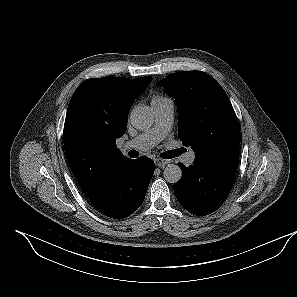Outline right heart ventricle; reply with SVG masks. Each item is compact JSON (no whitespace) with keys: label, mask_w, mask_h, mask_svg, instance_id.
<instances>
[{"label":"right heart ventricle","mask_w":297,"mask_h":297,"mask_svg":"<svg viewBox=\"0 0 297 297\" xmlns=\"http://www.w3.org/2000/svg\"><path fill=\"white\" fill-rule=\"evenodd\" d=\"M161 98H164L162 96H155L152 100H157V99H161Z\"/></svg>","instance_id":"1"}]
</instances>
